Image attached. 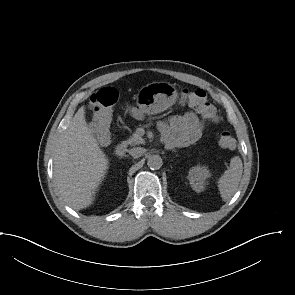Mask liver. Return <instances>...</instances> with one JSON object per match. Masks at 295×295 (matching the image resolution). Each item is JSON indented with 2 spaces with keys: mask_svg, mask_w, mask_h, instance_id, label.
Segmentation results:
<instances>
[{
  "mask_svg": "<svg viewBox=\"0 0 295 295\" xmlns=\"http://www.w3.org/2000/svg\"><path fill=\"white\" fill-rule=\"evenodd\" d=\"M54 179L60 195L73 209L89 207L109 168L85 119V108L78 109L56 144Z\"/></svg>",
  "mask_w": 295,
  "mask_h": 295,
  "instance_id": "6515ba94",
  "label": "liver"
}]
</instances>
